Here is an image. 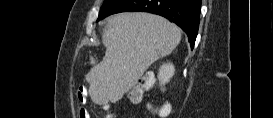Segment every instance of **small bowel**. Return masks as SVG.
Instances as JSON below:
<instances>
[{"mask_svg":"<svg viewBox=\"0 0 273 118\" xmlns=\"http://www.w3.org/2000/svg\"><path fill=\"white\" fill-rule=\"evenodd\" d=\"M78 100L81 104H84L87 100V90L84 87H81L78 91ZM103 110L106 112V116L111 118L113 115L110 112V106L108 104L104 105ZM80 118H89L88 112L85 108L81 107L79 110Z\"/></svg>","mask_w":273,"mask_h":118,"instance_id":"1","label":"small bowel"}]
</instances>
